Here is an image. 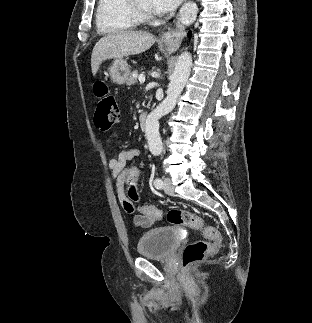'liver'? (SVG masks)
Masks as SVG:
<instances>
[{"instance_id":"obj_1","label":"liver","mask_w":312,"mask_h":323,"mask_svg":"<svg viewBox=\"0 0 312 323\" xmlns=\"http://www.w3.org/2000/svg\"><path fill=\"white\" fill-rule=\"evenodd\" d=\"M156 42L152 34L146 32H111L100 38L93 48L91 68L96 76L104 60H121L124 56H134L149 50Z\"/></svg>"}]
</instances>
